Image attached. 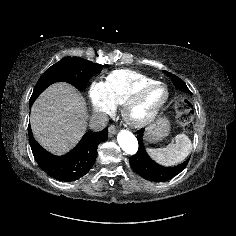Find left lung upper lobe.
<instances>
[{
    "mask_svg": "<svg viewBox=\"0 0 236 236\" xmlns=\"http://www.w3.org/2000/svg\"><path fill=\"white\" fill-rule=\"evenodd\" d=\"M166 74L171 77V80L177 89L182 90L186 93H191L183 80L169 72H166Z\"/></svg>",
    "mask_w": 236,
    "mask_h": 236,
    "instance_id": "obj_1",
    "label": "left lung upper lobe"
}]
</instances>
